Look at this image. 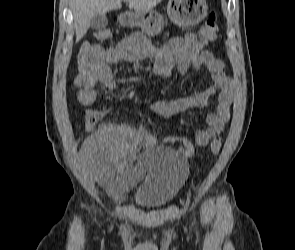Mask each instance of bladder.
<instances>
[{"label":"bladder","mask_w":295,"mask_h":250,"mask_svg":"<svg viewBox=\"0 0 295 250\" xmlns=\"http://www.w3.org/2000/svg\"><path fill=\"white\" fill-rule=\"evenodd\" d=\"M135 166H142L145 171L137 187L136 202L146 209H157L170 202L189 170L187 160L177 150L168 147L145 150Z\"/></svg>","instance_id":"1"}]
</instances>
